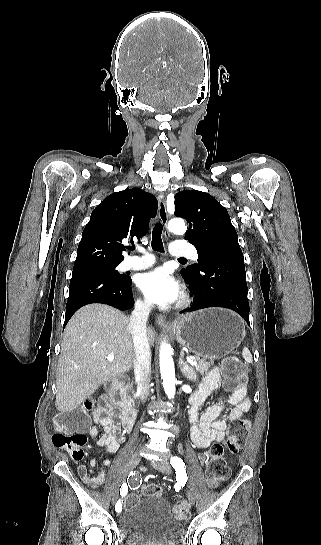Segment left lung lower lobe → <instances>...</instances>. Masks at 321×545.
Instances as JSON below:
<instances>
[{"mask_svg":"<svg viewBox=\"0 0 321 545\" xmlns=\"http://www.w3.org/2000/svg\"><path fill=\"white\" fill-rule=\"evenodd\" d=\"M193 291L191 308L224 307L236 311L249 323L246 272L239 245L225 244L205 251L196 273L183 276Z\"/></svg>","mask_w":321,"mask_h":545,"instance_id":"left-lung-lower-lobe-1","label":"left lung lower lobe"}]
</instances>
